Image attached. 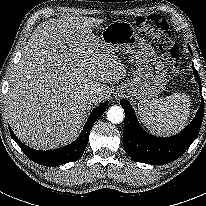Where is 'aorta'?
<instances>
[{
  "label": "aorta",
  "instance_id": "1",
  "mask_svg": "<svg viewBox=\"0 0 206 206\" xmlns=\"http://www.w3.org/2000/svg\"><path fill=\"white\" fill-rule=\"evenodd\" d=\"M107 118L111 123H120L123 121L124 118V110L120 106H112L107 111Z\"/></svg>",
  "mask_w": 206,
  "mask_h": 206
}]
</instances>
